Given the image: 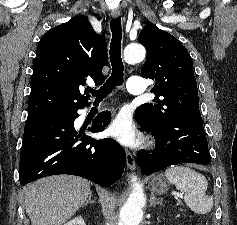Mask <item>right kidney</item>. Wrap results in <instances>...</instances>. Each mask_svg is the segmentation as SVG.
<instances>
[{"label": "right kidney", "instance_id": "obj_1", "mask_svg": "<svg viewBox=\"0 0 237 225\" xmlns=\"http://www.w3.org/2000/svg\"><path fill=\"white\" fill-rule=\"evenodd\" d=\"M64 225H86L83 218L81 217H76L69 222L65 223Z\"/></svg>", "mask_w": 237, "mask_h": 225}]
</instances>
